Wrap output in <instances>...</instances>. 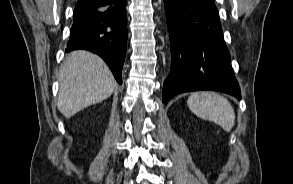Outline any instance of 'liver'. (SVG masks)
<instances>
[{"instance_id": "1", "label": "liver", "mask_w": 293, "mask_h": 184, "mask_svg": "<svg viewBox=\"0 0 293 184\" xmlns=\"http://www.w3.org/2000/svg\"><path fill=\"white\" fill-rule=\"evenodd\" d=\"M58 80L57 107L66 118L107 99L116 87L106 63L99 56L84 50L68 54Z\"/></svg>"}]
</instances>
